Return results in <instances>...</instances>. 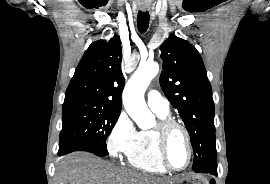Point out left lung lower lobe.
<instances>
[{
	"mask_svg": "<svg viewBox=\"0 0 270 184\" xmlns=\"http://www.w3.org/2000/svg\"><path fill=\"white\" fill-rule=\"evenodd\" d=\"M200 173H211V174L217 175V167L204 169L200 171Z\"/></svg>",
	"mask_w": 270,
	"mask_h": 184,
	"instance_id": "left-lung-lower-lobe-1",
	"label": "left lung lower lobe"
}]
</instances>
